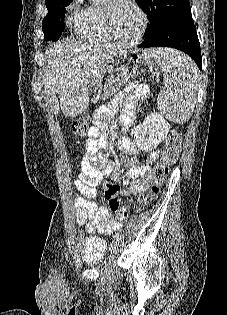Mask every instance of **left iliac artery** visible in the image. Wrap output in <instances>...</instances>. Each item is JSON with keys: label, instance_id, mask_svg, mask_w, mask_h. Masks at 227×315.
I'll list each match as a JSON object with an SVG mask.
<instances>
[{"label": "left iliac artery", "instance_id": "obj_1", "mask_svg": "<svg viewBox=\"0 0 227 315\" xmlns=\"http://www.w3.org/2000/svg\"><path fill=\"white\" fill-rule=\"evenodd\" d=\"M121 233H116V235L114 236L116 240H120L121 239Z\"/></svg>", "mask_w": 227, "mask_h": 315}]
</instances>
